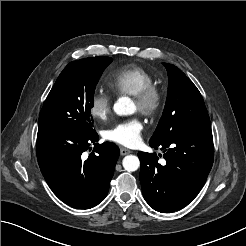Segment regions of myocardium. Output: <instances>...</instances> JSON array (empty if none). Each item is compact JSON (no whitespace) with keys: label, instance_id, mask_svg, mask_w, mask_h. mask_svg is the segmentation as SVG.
Masks as SVG:
<instances>
[{"label":"myocardium","instance_id":"myocardium-1","mask_svg":"<svg viewBox=\"0 0 246 246\" xmlns=\"http://www.w3.org/2000/svg\"><path fill=\"white\" fill-rule=\"evenodd\" d=\"M137 104L138 111L147 117L155 116L163 104V94L161 90L151 85L133 96Z\"/></svg>","mask_w":246,"mask_h":246}]
</instances>
